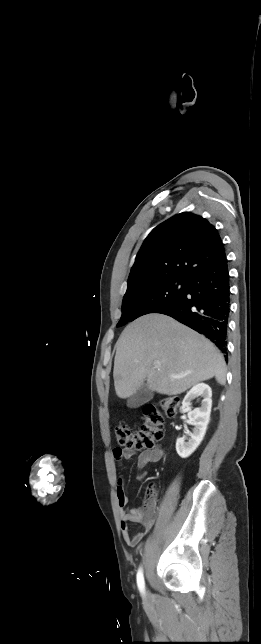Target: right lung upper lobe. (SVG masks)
<instances>
[{
	"label": "right lung upper lobe",
	"instance_id": "1",
	"mask_svg": "<svg viewBox=\"0 0 261 644\" xmlns=\"http://www.w3.org/2000/svg\"><path fill=\"white\" fill-rule=\"evenodd\" d=\"M226 258L218 231L188 212L158 225L145 239L128 278V288L169 278L187 279Z\"/></svg>",
	"mask_w": 261,
	"mask_h": 644
}]
</instances>
